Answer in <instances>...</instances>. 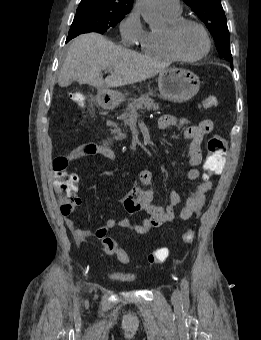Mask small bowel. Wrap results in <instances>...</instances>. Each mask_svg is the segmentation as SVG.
Masks as SVG:
<instances>
[{"label":"small bowel","mask_w":261,"mask_h":340,"mask_svg":"<svg viewBox=\"0 0 261 340\" xmlns=\"http://www.w3.org/2000/svg\"><path fill=\"white\" fill-rule=\"evenodd\" d=\"M188 123L189 120L186 118L177 120L171 115H164L160 117L158 127L160 129H167L174 125L183 126ZM213 128L214 123L211 119L202 118L197 124L188 126L184 131V137L190 140L187 178L191 181L201 176L198 168L202 162L201 142L207 134L212 132ZM90 156H103L109 160L116 159L112 142L104 141L101 143H84L75 147L68 154L67 160L68 162H72ZM152 178V172L147 169L142 170L139 174V180L145 186L151 184ZM76 179L78 181L77 176ZM211 189L212 182L209 179L203 178L193 194L188 197L182 205L178 214L179 218L188 220L196 214L203 207L206 195ZM153 199L154 194L150 188L143 189L137 185L132 186L120 199L127 212L136 213L137 211L144 210L148 214V217L141 223H133L128 218L121 220L110 218L95 232H91L78 228L71 218L66 217L65 225L71 231L77 244H83L90 236L103 240L108 231L115 227L132 229L138 234H145L152 228H157L166 222L172 221L176 216V208L179 207L182 202L181 196L176 191L170 193L169 203L166 206L154 204Z\"/></svg>","instance_id":"1"}]
</instances>
